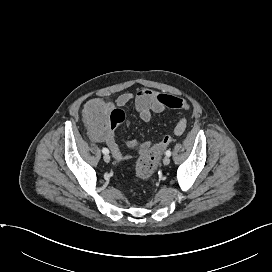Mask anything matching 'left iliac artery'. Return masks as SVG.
Returning a JSON list of instances; mask_svg holds the SVG:
<instances>
[{
	"label": "left iliac artery",
	"mask_w": 272,
	"mask_h": 272,
	"mask_svg": "<svg viewBox=\"0 0 272 272\" xmlns=\"http://www.w3.org/2000/svg\"><path fill=\"white\" fill-rule=\"evenodd\" d=\"M165 154H166V156L169 157V156H171V151H170V150H167Z\"/></svg>",
	"instance_id": "44dca946"
}]
</instances>
